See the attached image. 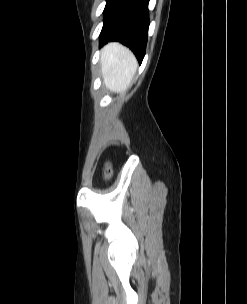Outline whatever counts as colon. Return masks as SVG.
Wrapping results in <instances>:
<instances>
[{
    "label": "colon",
    "instance_id": "colon-1",
    "mask_svg": "<svg viewBox=\"0 0 247 304\" xmlns=\"http://www.w3.org/2000/svg\"><path fill=\"white\" fill-rule=\"evenodd\" d=\"M105 175H106V177H110V175H111V168L109 166H107L105 168Z\"/></svg>",
    "mask_w": 247,
    "mask_h": 304
}]
</instances>
